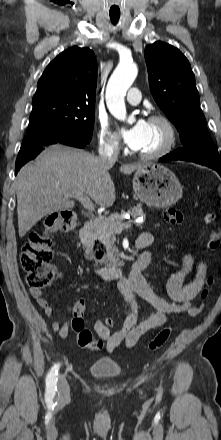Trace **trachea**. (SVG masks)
Here are the masks:
<instances>
[{"mask_svg": "<svg viewBox=\"0 0 221 440\" xmlns=\"http://www.w3.org/2000/svg\"><path fill=\"white\" fill-rule=\"evenodd\" d=\"M119 18L118 17H111V21L113 24H116L118 22Z\"/></svg>", "mask_w": 221, "mask_h": 440, "instance_id": "1", "label": "trachea"}]
</instances>
